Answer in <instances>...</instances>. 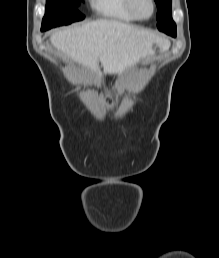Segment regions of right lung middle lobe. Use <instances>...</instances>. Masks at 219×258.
I'll list each match as a JSON object with an SVG mask.
<instances>
[{
  "label": "right lung middle lobe",
  "instance_id": "right-lung-middle-lobe-1",
  "mask_svg": "<svg viewBox=\"0 0 219 258\" xmlns=\"http://www.w3.org/2000/svg\"><path fill=\"white\" fill-rule=\"evenodd\" d=\"M80 0H46L45 16L41 30L68 25L84 19L78 10Z\"/></svg>",
  "mask_w": 219,
  "mask_h": 258
}]
</instances>
